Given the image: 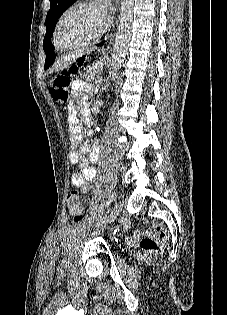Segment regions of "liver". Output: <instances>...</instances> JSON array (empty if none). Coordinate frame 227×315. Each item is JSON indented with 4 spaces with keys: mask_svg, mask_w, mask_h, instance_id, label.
Returning a JSON list of instances; mask_svg holds the SVG:
<instances>
[{
    "mask_svg": "<svg viewBox=\"0 0 227 315\" xmlns=\"http://www.w3.org/2000/svg\"><path fill=\"white\" fill-rule=\"evenodd\" d=\"M81 54L78 55H68L64 56L61 59L57 61V64L55 66V70L58 69H64L65 67H68V65L72 62V60L77 59Z\"/></svg>",
    "mask_w": 227,
    "mask_h": 315,
    "instance_id": "obj_1",
    "label": "liver"
}]
</instances>
